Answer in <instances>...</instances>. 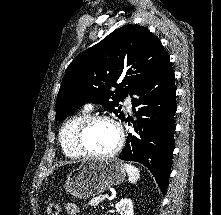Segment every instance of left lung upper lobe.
<instances>
[{"mask_svg":"<svg viewBox=\"0 0 221 215\" xmlns=\"http://www.w3.org/2000/svg\"><path fill=\"white\" fill-rule=\"evenodd\" d=\"M167 56L160 40L147 28L125 25L116 29L66 69L56 101V120L62 121L83 104L94 102L123 121L119 102L133 95Z\"/></svg>","mask_w":221,"mask_h":215,"instance_id":"left-lung-upper-lobe-1","label":"left lung upper lobe"}]
</instances>
